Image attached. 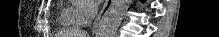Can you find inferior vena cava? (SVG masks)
Wrapping results in <instances>:
<instances>
[{"label":"inferior vena cava","instance_id":"inferior-vena-cava-1","mask_svg":"<svg viewBox=\"0 0 219 37\" xmlns=\"http://www.w3.org/2000/svg\"><path fill=\"white\" fill-rule=\"evenodd\" d=\"M98 12V8L96 6L92 7V16H95Z\"/></svg>","mask_w":219,"mask_h":37}]
</instances>
